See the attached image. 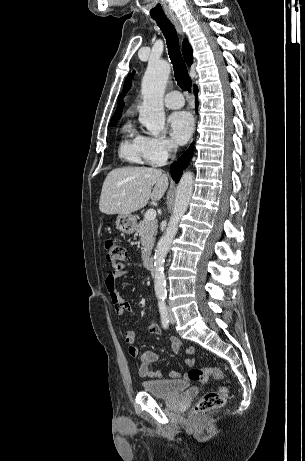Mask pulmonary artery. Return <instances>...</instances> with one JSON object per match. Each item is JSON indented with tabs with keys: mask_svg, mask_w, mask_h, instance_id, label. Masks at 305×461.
I'll list each match as a JSON object with an SVG mask.
<instances>
[{
	"mask_svg": "<svg viewBox=\"0 0 305 461\" xmlns=\"http://www.w3.org/2000/svg\"><path fill=\"white\" fill-rule=\"evenodd\" d=\"M164 103L170 109H178L184 105V99L180 92L171 91L166 94Z\"/></svg>",
	"mask_w": 305,
	"mask_h": 461,
	"instance_id": "1",
	"label": "pulmonary artery"
}]
</instances>
